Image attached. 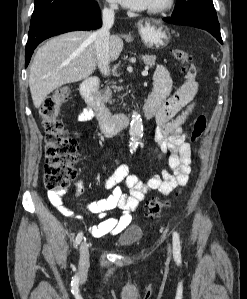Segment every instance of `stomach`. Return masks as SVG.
Masks as SVG:
<instances>
[{
    "instance_id": "1",
    "label": "stomach",
    "mask_w": 247,
    "mask_h": 299,
    "mask_svg": "<svg viewBox=\"0 0 247 299\" xmlns=\"http://www.w3.org/2000/svg\"><path fill=\"white\" fill-rule=\"evenodd\" d=\"M139 34L143 43L151 49L166 47L171 38L169 28L160 21H145L140 23Z\"/></svg>"
}]
</instances>
